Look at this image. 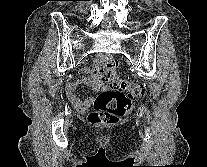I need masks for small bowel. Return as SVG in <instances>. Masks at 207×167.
Instances as JSON below:
<instances>
[{"label":"small bowel","mask_w":207,"mask_h":167,"mask_svg":"<svg viewBox=\"0 0 207 167\" xmlns=\"http://www.w3.org/2000/svg\"><path fill=\"white\" fill-rule=\"evenodd\" d=\"M87 84L91 87V89L94 92H97L100 89V83L98 80L91 78V77H80L76 79L75 81H72L68 83L66 86V95L72 106L78 111V112H85L92 104L94 97L90 96L86 98L83 102L80 101L77 96L75 95V89L82 85Z\"/></svg>","instance_id":"1"}]
</instances>
